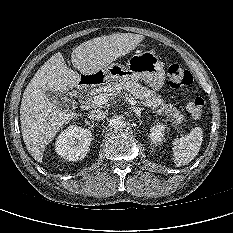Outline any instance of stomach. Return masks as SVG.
Masks as SVG:
<instances>
[{
  "instance_id": "0dacf381",
  "label": "stomach",
  "mask_w": 233,
  "mask_h": 233,
  "mask_svg": "<svg viewBox=\"0 0 233 233\" xmlns=\"http://www.w3.org/2000/svg\"><path fill=\"white\" fill-rule=\"evenodd\" d=\"M102 81H138L144 80L150 87L160 90L164 85L165 72L163 63L151 51L138 52L127 61L126 66L110 63L99 70Z\"/></svg>"
}]
</instances>
